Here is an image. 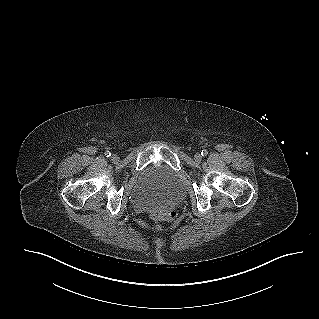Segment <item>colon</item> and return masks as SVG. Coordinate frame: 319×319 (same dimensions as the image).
Masks as SVG:
<instances>
[{"mask_svg":"<svg viewBox=\"0 0 319 319\" xmlns=\"http://www.w3.org/2000/svg\"><path fill=\"white\" fill-rule=\"evenodd\" d=\"M150 217L155 220H165V221H173L176 218L175 211H161V210H152L150 212Z\"/></svg>","mask_w":319,"mask_h":319,"instance_id":"obj_1","label":"colon"}]
</instances>
